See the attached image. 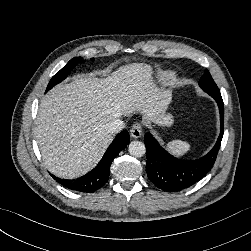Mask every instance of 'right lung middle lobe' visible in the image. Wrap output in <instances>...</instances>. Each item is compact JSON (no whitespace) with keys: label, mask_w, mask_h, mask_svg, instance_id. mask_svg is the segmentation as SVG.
I'll list each match as a JSON object with an SVG mask.
<instances>
[{"label":"right lung middle lobe","mask_w":251,"mask_h":251,"mask_svg":"<svg viewBox=\"0 0 251 251\" xmlns=\"http://www.w3.org/2000/svg\"><path fill=\"white\" fill-rule=\"evenodd\" d=\"M94 60V58H91ZM80 62H84L81 57H74L71 59L58 73H56L50 80L46 92L49 91L53 86L63 81L71 72V70Z\"/></svg>","instance_id":"obj_1"}]
</instances>
